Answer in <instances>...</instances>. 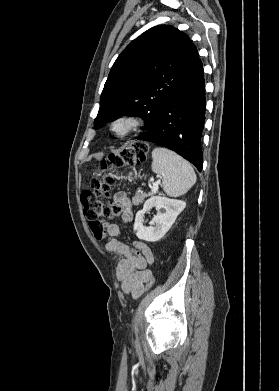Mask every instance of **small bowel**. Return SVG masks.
I'll return each mask as SVG.
<instances>
[{
    "label": "small bowel",
    "instance_id": "1",
    "mask_svg": "<svg viewBox=\"0 0 279 391\" xmlns=\"http://www.w3.org/2000/svg\"><path fill=\"white\" fill-rule=\"evenodd\" d=\"M114 201L124 208L121 214L122 222L132 221V204L127 194L122 191L117 192ZM104 229L108 235L106 250L123 256L117 266V278L122 291L133 298H138L144 293L145 283L152 276L148 266L154 262L153 253L142 241H135V249H132L120 238L121 228L117 224L106 223Z\"/></svg>",
    "mask_w": 279,
    "mask_h": 391
}]
</instances>
